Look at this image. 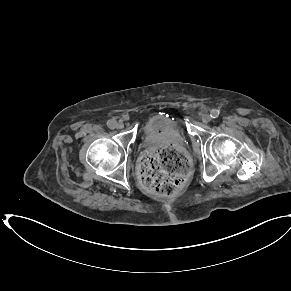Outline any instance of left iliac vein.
<instances>
[{
	"mask_svg": "<svg viewBox=\"0 0 291 291\" xmlns=\"http://www.w3.org/2000/svg\"><path fill=\"white\" fill-rule=\"evenodd\" d=\"M210 121H211V116H210L209 114H204V115L202 116V122H203V123L207 124V123H209Z\"/></svg>",
	"mask_w": 291,
	"mask_h": 291,
	"instance_id": "obj_1",
	"label": "left iliac vein"
}]
</instances>
